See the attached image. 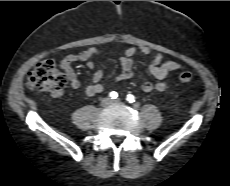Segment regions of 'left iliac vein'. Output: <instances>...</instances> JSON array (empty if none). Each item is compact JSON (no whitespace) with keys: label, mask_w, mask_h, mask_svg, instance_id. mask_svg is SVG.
Masks as SVG:
<instances>
[{"label":"left iliac vein","mask_w":230,"mask_h":186,"mask_svg":"<svg viewBox=\"0 0 230 186\" xmlns=\"http://www.w3.org/2000/svg\"><path fill=\"white\" fill-rule=\"evenodd\" d=\"M113 103H114V104H119V103H120V100H119V99L114 100Z\"/></svg>","instance_id":"obj_1"}]
</instances>
